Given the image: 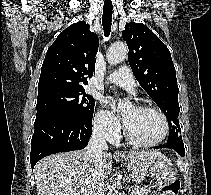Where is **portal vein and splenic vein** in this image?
<instances>
[{
	"mask_svg": "<svg viewBox=\"0 0 211 195\" xmlns=\"http://www.w3.org/2000/svg\"><path fill=\"white\" fill-rule=\"evenodd\" d=\"M130 195H135V193H134V192H132Z\"/></svg>",
	"mask_w": 211,
	"mask_h": 195,
	"instance_id": "1",
	"label": "portal vein and splenic vein"
}]
</instances>
